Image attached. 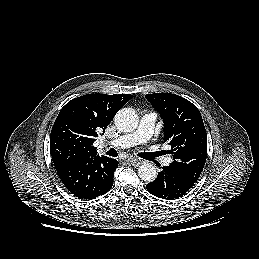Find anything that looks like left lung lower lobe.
<instances>
[{
	"label": "left lung lower lobe",
	"instance_id": "left-lung-lower-lobe-1",
	"mask_svg": "<svg viewBox=\"0 0 259 259\" xmlns=\"http://www.w3.org/2000/svg\"><path fill=\"white\" fill-rule=\"evenodd\" d=\"M195 182L177 168L169 165L163 167L157 178L148 183L146 188L149 193L156 197L173 200L185 195Z\"/></svg>",
	"mask_w": 259,
	"mask_h": 259
}]
</instances>
